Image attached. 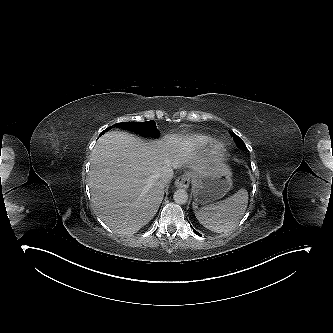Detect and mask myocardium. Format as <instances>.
I'll return each instance as SVG.
<instances>
[{
	"instance_id": "obj_1",
	"label": "myocardium",
	"mask_w": 333,
	"mask_h": 333,
	"mask_svg": "<svg viewBox=\"0 0 333 333\" xmlns=\"http://www.w3.org/2000/svg\"><path fill=\"white\" fill-rule=\"evenodd\" d=\"M223 151V145L218 142L214 141L212 142L209 150H208V155L212 158L219 156Z\"/></svg>"
}]
</instances>
